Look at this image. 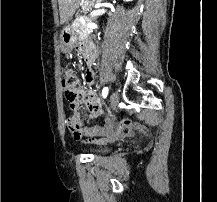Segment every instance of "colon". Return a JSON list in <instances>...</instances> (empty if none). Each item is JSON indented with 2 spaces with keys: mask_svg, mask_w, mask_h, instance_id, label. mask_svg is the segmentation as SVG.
Segmentation results:
<instances>
[{
  "mask_svg": "<svg viewBox=\"0 0 217 202\" xmlns=\"http://www.w3.org/2000/svg\"><path fill=\"white\" fill-rule=\"evenodd\" d=\"M62 88L66 97L67 102L69 103L71 110H76L81 101L84 100V96L81 95V90H75L73 87V82H78V76L76 73L72 72L71 69H62ZM66 125L69 131H74V126H78V121L74 118V116H68L66 120ZM120 127L129 129L132 127V122L130 119H123L120 123ZM116 131L117 129L114 127L106 128V127H91V129H87L86 127L82 128L84 138H91V132H106V131ZM121 135H131L133 132L130 130H121Z\"/></svg>",
  "mask_w": 217,
  "mask_h": 202,
  "instance_id": "5ec220e1",
  "label": "colon"
}]
</instances>
